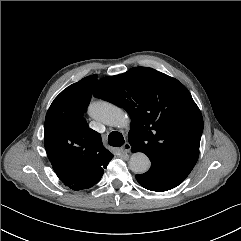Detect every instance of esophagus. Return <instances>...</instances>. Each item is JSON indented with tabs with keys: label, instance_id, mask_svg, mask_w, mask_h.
<instances>
[{
	"label": "esophagus",
	"instance_id": "esophagus-1",
	"mask_svg": "<svg viewBox=\"0 0 241 241\" xmlns=\"http://www.w3.org/2000/svg\"><path fill=\"white\" fill-rule=\"evenodd\" d=\"M120 150L123 152V153H129L130 150H131V145L126 142L121 148Z\"/></svg>",
	"mask_w": 241,
	"mask_h": 241
}]
</instances>
